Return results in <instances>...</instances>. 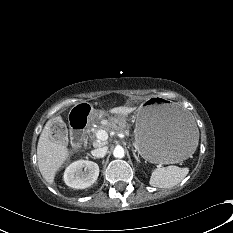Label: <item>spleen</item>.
<instances>
[{
  "instance_id": "spleen-1",
  "label": "spleen",
  "mask_w": 233,
  "mask_h": 233,
  "mask_svg": "<svg viewBox=\"0 0 233 233\" xmlns=\"http://www.w3.org/2000/svg\"><path fill=\"white\" fill-rule=\"evenodd\" d=\"M188 168L170 165L156 168L150 177V185L158 188H171L180 183L188 174Z\"/></svg>"
}]
</instances>
